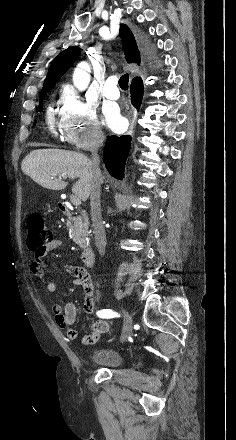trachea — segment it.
<instances>
[{
	"label": "trachea",
	"mask_w": 236,
	"mask_h": 440,
	"mask_svg": "<svg viewBox=\"0 0 236 440\" xmlns=\"http://www.w3.org/2000/svg\"><path fill=\"white\" fill-rule=\"evenodd\" d=\"M128 82H129V74L126 73L124 75H122L119 79V86L122 90H127L128 89Z\"/></svg>",
	"instance_id": "1"
}]
</instances>
